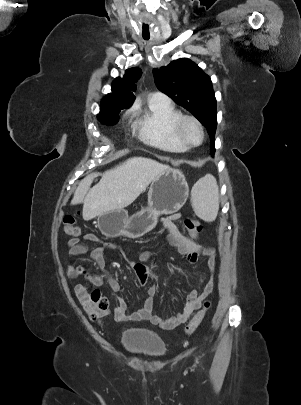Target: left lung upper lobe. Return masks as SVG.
I'll use <instances>...</instances> for the list:
<instances>
[{
    "label": "left lung upper lobe",
    "instance_id": "5c2ea615",
    "mask_svg": "<svg viewBox=\"0 0 301 405\" xmlns=\"http://www.w3.org/2000/svg\"><path fill=\"white\" fill-rule=\"evenodd\" d=\"M153 73L158 89L190 111L207 128L211 138L210 151L214 155L217 112L210 77L187 58L155 68Z\"/></svg>",
    "mask_w": 301,
    "mask_h": 405
}]
</instances>
